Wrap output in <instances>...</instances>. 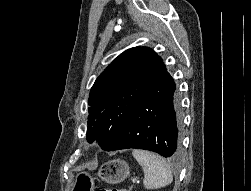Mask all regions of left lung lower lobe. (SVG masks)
Listing matches in <instances>:
<instances>
[{
  "label": "left lung lower lobe",
  "mask_w": 251,
  "mask_h": 191,
  "mask_svg": "<svg viewBox=\"0 0 251 191\" xmlns=\"http://www.w3.org/2000/svg\"><path fill=\"white\" fill-rule=\"evenodd\" d=\"M176 85L165 70L138 102L109 151L144 149L163 157L180 152V110Z\"/></svg>",
  "instance_id": "1"
}]
</instances>
